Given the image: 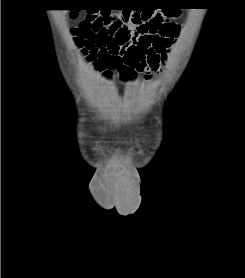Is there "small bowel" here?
Wrapping results in <instances>:
<instances>
[{"instance_id": "c3829d8e", "label": "small bowel", "mask_w": 245, "mask_h": 278, "mask_svg": "<svg viewBox=\"0 0 245 278\" xmlns=\"http://www.w3.org/2000/svg\"><path fill=\"white\" fill-rule=\"evenodd\" d=\"M179 10L175 11L172 17L177 16ZM79 44L86 49L88 40L86 33L78 35ZM97 50L103 49L104 55L89 59L92 61L94 72L102 75L108 80L112 77L113 71L120 70L122 79L125 81L132 80L137 74L147 71H157L163 63L169 48L165 49L163 54H149L150 47L140 45L138 39L127 46H121L114 37L107 38L100 46L94 42Z\"/></svg>"}]
</instances>
